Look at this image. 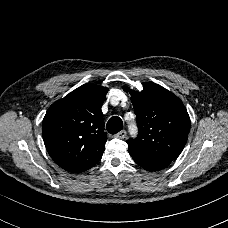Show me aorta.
Returning a JSON list of instances; mask_svg holds the SVG:
<instances>
[{"mask_svg":"<svg viewBox=\"0 0 228 228\" xmlns=\"http://www.w3.org/2000/svg\"><path fill=\"white\" fill-rule=\"evenodd\" d=\"M130 114H131V113H130ZM126 115H127V114L124 115V118H125L126 120H128L127 117H126ZM127 130H128V132H129L130 138L135 139V138L137 137L138 131H139V127H138L137 122H136L134 119H131V120H129V121L127 122Z\"/></svg>","mask_w":228,"mask_h":228,"instance_id":"aorta-1","label":"aorta"}]
</instances>
